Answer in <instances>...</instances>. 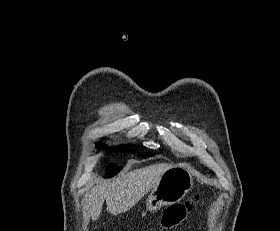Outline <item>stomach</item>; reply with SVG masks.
Segmentation results:
<instances>
[{
    "label": "stomach",
    "mask_w": 280,
    "mask_h": 231,
    "mask_svg": "<svg viewBox=\"0 0 280 231\" xmlns=\"http://www.w3.org/2000/svg\"><path fill=\"white\" fill-rule=\"evenodd\" d=\"M193 187V177L185 167L172 165L162 173L157 185L146 199V209L157 211L161 205H171L180 201Z\"/></svg>",
    "instance_id": "1"
}]
</instances>
